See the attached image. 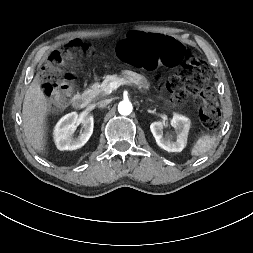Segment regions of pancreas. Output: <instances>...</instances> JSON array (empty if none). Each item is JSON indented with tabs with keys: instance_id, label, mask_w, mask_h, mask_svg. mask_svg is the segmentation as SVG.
<instances>
[{
	"instance_id": "1",
	"label": "pancreas",
	"mask_w": 253,
	"mask_h": 253,
	"mask_svg": "<svg viewBox=\"0 0 253 253\" xmlns=\"http://www.w3.org/2000/svg\"><path fill=\"white\" fill-rule=\"evenodd\" d=\"M121 79L125 78H121L117 75H107L101 84L95 83L91 86L87 93L93 98H100L105 95H108L112 92V89L110 88V83L115 81L118 82Z\"/></svg>"
}]
</instances>
